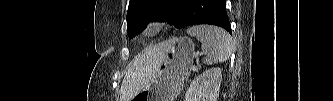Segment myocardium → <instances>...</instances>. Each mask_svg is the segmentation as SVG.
<instances>
[{
	"label": "myocardium",
	"instance_id": "f54148a6",
	"mask_svg": "<svg viewBox=\"0 0 333 101\" xmlns=\"http://www.w3.org/2000/svg\"><path fill=\"white\" fill-rule=\"evenodd\" d=\"M162 28V23L158 20L149 22L143 29L145 36H150L158 32Z\"/></svg>",
	"mask_w": 333,
	"mask_h": 101
}]
</instances>
